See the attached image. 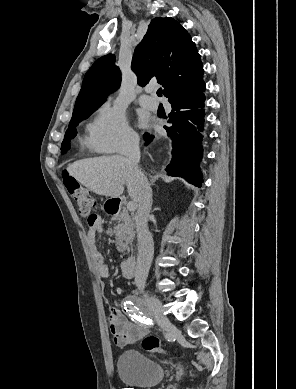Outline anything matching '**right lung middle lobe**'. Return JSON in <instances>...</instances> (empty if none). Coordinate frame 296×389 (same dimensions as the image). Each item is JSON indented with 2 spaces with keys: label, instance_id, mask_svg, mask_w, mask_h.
Returning <instances> with one entry per match:
<instances>
[{
  "label": "right lung middle lobe",
  "instance_id": "dd1d6c3e",
  "mask_svg": "<svg viewBox=\"0 0 296 389\" xmlns=\"http://www.w3.org/2000/svg\"><path fill=\"white\" fill-rule=\"evenodd\" d=\"M98 107H89L80 110L77 113H73L72 119L69 123V127L65 133V138L61 144V150L62 152H66L70 148V140L71 138H74L77 134V131L74 129L76 125L84 118H87L90 116Z\"/></svg>",
  "mask_w": 296,
  "mask_h": 389
}]
</instances>
